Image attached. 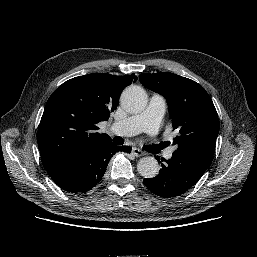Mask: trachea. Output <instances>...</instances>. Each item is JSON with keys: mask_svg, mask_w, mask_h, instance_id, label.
Instances as JSON below:
<instances>
[{"mask_svg": "<svg viewBox=\"0 0 257 257\" xmlns=\"http://www.w3.org/2000/svg\"><path fill=\"white\" fill-rule=\"evenodd\" d=\"M113 142L115 143V144H118V145H121V144H123V139L121 138V137H119V136H117V137H115L114 139H113Z\"/></svg>", "mask_w": 257, "mask_h": 257, "instance_id": "obj_1", "label": "trachea"}]
</instances>
